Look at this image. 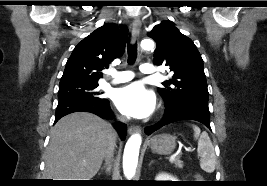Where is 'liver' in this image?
Wrapping results in <instances>:
<instances>
[{
  "label": "liver",
  "mask_w": 267,
  "mask_h": 186,
  "mask_svg": "<svg viewBox=\"0 0 267 186\" xmlns=\"http://www.w3.org/2000/svg\"><path fill=\"white\" fill-rule=\"evenodd\" d=\"M113 128L98 116L76 112L60 119L51 130L44 177L53 180H90L98 172Z\"/></svg>",
  "instance_id": "1"
}]
</instances>
